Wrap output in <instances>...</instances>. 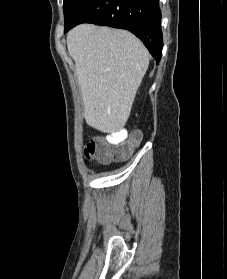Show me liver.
<instances>
[{
    "instance_id": "6515ba94",
    "label": "liver",
    "mask_w": 227,
    "mask_h": 279,
    "mask_svg": "<svg viewBox=\"0 0 227 279\" xmlns=\"http://www.w3.org/2000/svg\"><path fill=\"white\" fill-rule=\"evenodd\" d=\"M75 61L86 123L114 133L127 122L149 66L143 43L126 30L81 24L67 36Z\"/></svg>"
}]
</instances>
